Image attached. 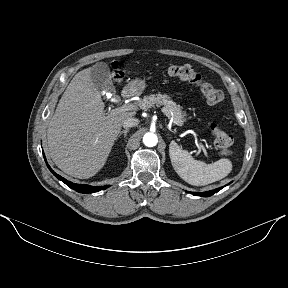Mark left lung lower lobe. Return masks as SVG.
I'll list each match as a JSON object with an SVG mask.
<instances>
[{"instance_id":"obj_1","label":"left lung lower lobe","mask_w":288,"mask_h":288,"mask_svg":"<svg viewBox=\"0 0 288 288\" xmlns=\"http://www.w3.org/2000/svg\"><path fill=\"white\" fill-rule=\"evenodd\" d=\"M221 189H222V187H221V188L214 189V190L206 191V192L193 193V195L203 196V197H209V196L215 194L216 192L220 191Z\"/></svg>"}]
</instances>
